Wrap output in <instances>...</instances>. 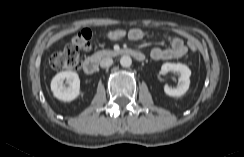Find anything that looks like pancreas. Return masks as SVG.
<instances>
[{
  "instance_id": "1",
  "label": "pancreas",
  "mask_w": 244,
  "mask_h": 157,
  "mask_svg": "<svg viewBox=\"0 0 244 157\" xmlns=\"http://www.w3.org/2000/svg\"><path fill=\"white\" fill-rule=\"evenodd\" d=\"M116 53L114 51H111V50H101V51H98L96 53H94V57L98 58V59H101L105 56H113L115 55Z\"/></svg>"
}]
</instances>
